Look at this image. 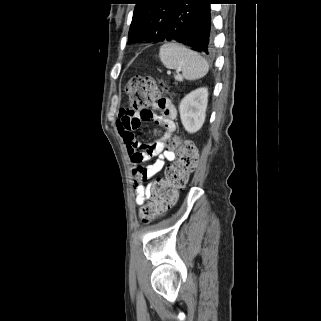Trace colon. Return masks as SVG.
Returning <instances> with one entry per match:
<instances>
[{
	"mask_svg": "<svg viewBox=\"0 0 321 321\" xmlns=\"http://www.w3.org/2000/svg\"><path fill=\"white\" fill-rule=\"evenodd\" d=\"M126 93L128 110L139 111L160 99L162 88L152 77L136 76L127 83ZM172 147L177 153L176 161L167 168L166 178L154 183L152 196L140 211L143 221H151L175 205L179 192L186 186L189 175L197 166L198 150L194 143L175 137Z\"/></svg>",
	"mask_w": 321,
	"mask_h": 321,
	"instance_id": "1",
	"label": "colon"
}]
</instances>
